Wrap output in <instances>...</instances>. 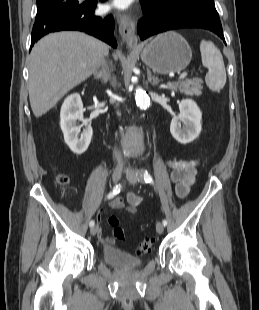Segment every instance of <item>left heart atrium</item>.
I'll list each match as a JSON object with an SVG mask.
<instances>
[{
    "mask_svg": "<svg viewBox=\"0 0 259 310\" xmlns=\"http://www.w3.org/2000/svg\"><path fill=\"white\" fill-rule=\"evenodd\" d=\"M132 0H113L111 7L116 9H126L130 6Z\"/></svg>",
    "mask_w": 259,
    "mask_h": 310,
    "instance_id": "left-heart-atrium-1",
    "label": "left heart atrium"
}]
</instances>
